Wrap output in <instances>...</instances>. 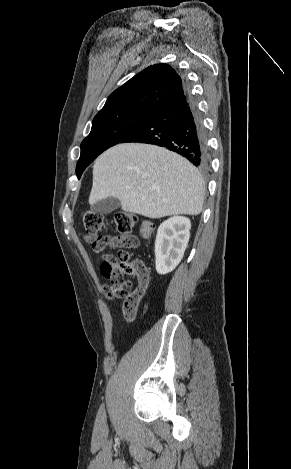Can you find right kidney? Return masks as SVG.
Returning a JSON list of instances; mask_svg holds the SVG:
<instances>
[{
    "mask_svg": "<svg viewBox=\"0 0 291 469\" xmlns=\"http://www.w3.org/2000/svg\"><path fill=\"white\" fill-rule=\"evenodd\" d=\"M191 222L174 216L164 221L157 230L155 265L160 275L173 271L183 258L190 238Z\"/></svg>",
    "mask_w": 291,
    "mask_h": 469,
    "instance_id": "ca27d5eb",
    "label": "right kidney"
}]
</instances>
